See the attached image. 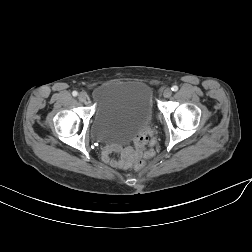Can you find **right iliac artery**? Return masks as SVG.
I'll return each mask as SVG.
<instances>
[{
	"label": "right iliac artery",
	"instance_id": "1",
	"mask_svg": "<svg viewBox=\"0 0 252 252\" xmlns=\"http://www.w3.org/2000/svg\"><path fill=\"white\" fill-rule=\"evenodd\" d=\"M72 95L75 97V96L78 95V92H77V91H73V92H72Z\"/></svg>",
	"mask_w": 252,
	"mask_h": 252
}]
</instances>
